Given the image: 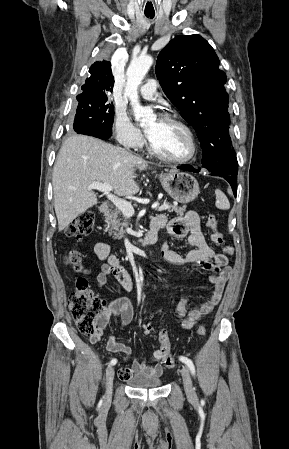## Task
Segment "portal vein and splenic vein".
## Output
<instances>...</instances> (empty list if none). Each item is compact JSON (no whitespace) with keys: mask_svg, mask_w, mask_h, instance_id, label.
<instances>
[{"mask_svg":"<svg viewBox=\"0 0 289 449\" xmlns=\"http://www.w3.org/2000/svg\"><path fill=\"white\" fill-rule=\"evenodd\" d=\"M88 189H96L106 195V197L126 216L132 217L134 215V209L132 205L126 200H122L116 195H113L111 191L113 186L108 183L93 182L89 185ZM170 206L166 203L158 208V211H164L169 209Z\"/></svg>","mask_w":289,"mask_h":449,"instance_id":"1","label":"portal vein and splenic vein"}]
</instances>
